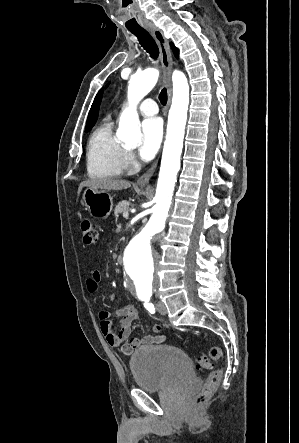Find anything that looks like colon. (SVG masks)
<instances>
[{
    "label": "colon",
    "instance_id": "1",
    "mask_svg": "<svg viewBox=\"0 0 299 443\" xmlns=\"http://www.w3.org/2000/svg\"><path fill=\"white\" fill-rule=\"evenodd\" d=\"M80 231L82 241L85 245H94L97 242L98 235L93 223L89 219H83L80 223ZM222 349L219 347H213L210 350L209 355H202L198 357L196 367L198 369H208L214 362H218L222 359ZM223 372L221 369L212 370L206 380L201 393L196 397V404L203 405L210 398L211 394L215 391L221 382Z\"/></svg>",
    "mask_w": 299,
    "mask_h": 443
}]
</instances>
